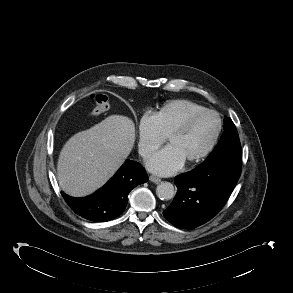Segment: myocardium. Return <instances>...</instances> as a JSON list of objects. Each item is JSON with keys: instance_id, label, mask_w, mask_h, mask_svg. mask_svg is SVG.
Masks as SVG:
<instances>
[{"instance_id": "1", "label": "myocardium", "mask_w": 293, "mask_h": 293, "mask_svg": "<svg viewBox=\"0 0 293 293\" xmlns=\"http://www.w3.org/2000/svg\"><path fill=\"white\" fill-rule=\"evenodd\" d=\"M205 114H211L216 117L217 129H216L215 135H214L213 139L211 140L210 144L199 155L195 156L194 158H192L186 162V165H188V166H192V165L198 164L201 161H203L205 158H207L210 155V153L216 147V145L219 141L221 132H222V128H223V122H222V118H221L220 114L217 111L211 110V109H204V110L195 112V113L191 114L190 116H188L177 128H175L167 136V141H168L172 137L184 134L191 127V125L195 122V120H197L199 117H201Z\"/></svg>"}]
</instances>
